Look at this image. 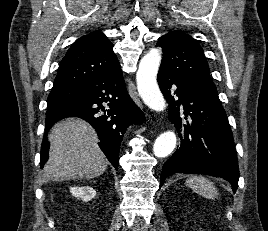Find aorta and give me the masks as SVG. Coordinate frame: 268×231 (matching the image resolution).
<instances>
[{
  "mask_svg": "<svg viewBox=\"0 0 268 231\" xmlns=\"http://www.w3.org/2000/svg\"><path fill=\"white\" fill-rule=\"evenodd\" d=\"M161 62L159 49H151L140 61L136 74L137 89L144 103L152 110L165 109V100L157 84V73ZM177 138L173 131H165L157 137L153 146L156 157L170 155L176 147Z\"/></svg>",
  "mask_w": 268,
  "mask_h": 231,
  "instance_id": "obj_1",
  "label": "aorta"
}]
</instances>
